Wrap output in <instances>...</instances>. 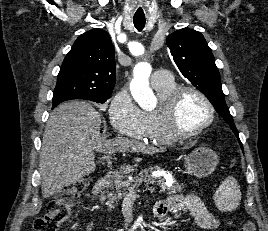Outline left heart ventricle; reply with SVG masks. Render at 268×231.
Returning a JSON list of instances; mask_svg holds the SVG:
<instances>
[{"label":"left heart ventricle","mask_w":268,"mask_h":231,"mask_svg":"<svg viewBox=\"0 0 268 231\" xmlns=\"http://www.w3.org/2000/svg\"><path fill=\"white\" fill-rule=\"evenodd\" d=\"M209 116L206 104L196 94L185 93L178 105V126L182 131H192L203 124Z\"/></svg>","instance_id":"1"}]
</instances>
